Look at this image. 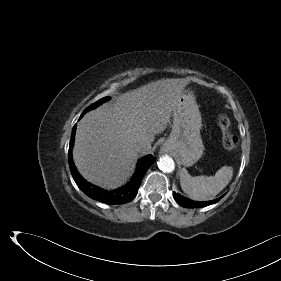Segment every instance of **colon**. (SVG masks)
Instances as JSON below:
<instances>
[{"label":"colon","instance_id":"obj_1","mask_svg":"<svg viewBox=\"0 0 281 281\" xmlns=\"http://www.w3.org/2000/svg\"><path fill=\"white\" fill-rule=\"evenodd\" d=\"M217 124L222 130V145L226 150L236 149L238 146V139L232 132L230 120L226 115H219L217 117Z\"/></svg>","mask_w":281,"mask_h":281}]
</instances>
